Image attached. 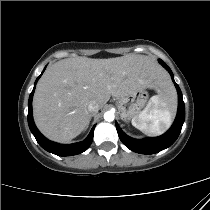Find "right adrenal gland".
<instances>
[{"label":"right adrenal gland","instance_id":"1","mask_svg":"<svg viewBox=\"0 0 210 210\" xmlns=\"http://www.w3.org/2000/svg\"><path fill=\"white\" fill-rule=\"evenodd\" d=\"M91 116H90V118H89V121H88V124H87V127L86 128H88V126H89V123H90V121H91Z\"/></svg>","mask_w":210,"mask_h":210}]
</instances>
